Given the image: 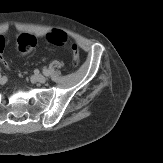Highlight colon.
Wrapping results in <instances>:
<instances>
[{
	"label": "colon",
	"instance_id": "colon-1",
	"mask_svg": "<svg viewBox=\"0 0 163 163\" xmlns=\"http://www.w3.org/2000/svg\"><path fill=\"white\" fill-rule=\"evenodd\" d=\"M47 41L57 45V46H65L69 44V39L67 34L59 29H54L48 32ZM37 45V39L31 34H22L19 36L17 40V51L21 55H25L32 51ZM5 47V42L2 37H0V62L5 63V59L3 57V51ZM70 48L72 51V61L75 66L79 64V49L78 46L74 43L70 44Z\"/></svg>",
	"mask_w": 163,
	"mask_h": 163
}]
</instances>
